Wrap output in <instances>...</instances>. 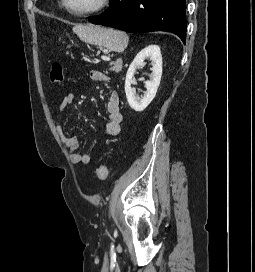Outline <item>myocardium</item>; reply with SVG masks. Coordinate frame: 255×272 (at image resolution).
Returning a JSON list of instances; mask_svg holds the SVG:
<instances>
[{
	"label": "myocardium",
	"instance_id": "obj_1",
	"mask_svg": "<svg viewBox=\"0 0 255 272\" xmlns=\"http://www.w3.org/2000/svg\"><path fill=\"white\" fill-rule=\"evenodd\" d=\"M109 2L110 0H99L98 4L95 7L83 11H77L69 6L67 0H61V4L65 8V10L74 16H88L99 13L108 6Z\"/></svg>",
	"mask_w": 255,
	"mask_h": 272
}]
</instances>
